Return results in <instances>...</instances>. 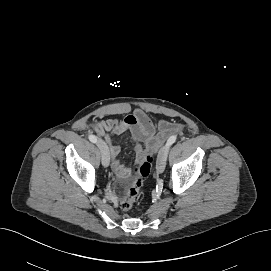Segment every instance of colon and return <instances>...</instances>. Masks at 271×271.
<instances>
[{
	"instance_id": "colon-1",
	"label": "colon",
	"mask_w": 271,
	"mask_h": 271,
	"mask_svg": "<svg viewBox=\"0 0 271 271\" xmlns=\"http://www.w3.org/2000/svg\"><path fill=\"white\" fill-rule=\"evenodd\" d=\"M152 163L153 157L147 156L135 167L132 184L120 203L122 210L129 211L133 208L140 194L144 181L150 175Z\"/></svg>"
}]
</instances>
